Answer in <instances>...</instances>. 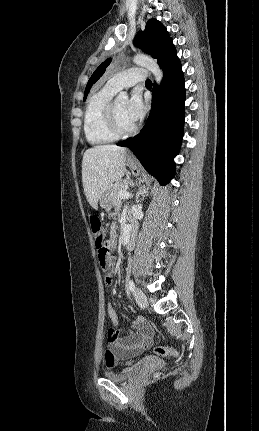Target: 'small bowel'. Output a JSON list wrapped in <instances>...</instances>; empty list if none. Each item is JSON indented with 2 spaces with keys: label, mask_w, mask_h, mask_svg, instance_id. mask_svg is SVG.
Returning <instances> with one entry per match:
<instances>
[{
  "label": "small bowel",
  "mask_w": 259,
  "mask_h": 431,
  "mask_svg": "<svg viewBox=\"0 0 259 431\" xmlns=\"http://www.w3.org/2000/svg\"><path fill=\"white\" fill-rule=\"evenodd\" d=\"M108 242L111 248L115 246V227L112 228L111 238ZM113 264L114 259L111 268L103 266L100 269L106 282L105 284L108 287L111 286L114 280L112 275ZM107 312L113 325L112 328L109 329L108 334H114L116 336L115 341L109 343L110 349L105 355L106 363L109 366H113L120 359L137 355L150 346L152 330L144 318H135L132 321L130 329L120 337L121 329L118 326V317L111 304H108Z\"/></svg>",
  "instance_id": "obj_1"
}]
</instances>
